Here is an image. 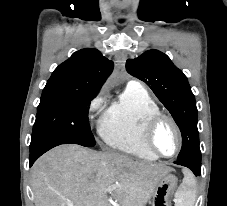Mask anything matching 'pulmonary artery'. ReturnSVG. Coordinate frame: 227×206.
Masks as SVG:
<instances>
[{"instance_id":"obj_1","label":"pulmonary artery","mask_w":227,"mask_h":206,"mask_svg":"<svg viewBox=\"0 0 227 206\" xmlns=\"http://www.w3.org/2000/svg\"><path fill=\"white\" fill-rule=\"evenodd\" d=\"M127 87L143 89L142 85L138 81H135V80L129 81Z\"/></svg>"}]
</instances>
